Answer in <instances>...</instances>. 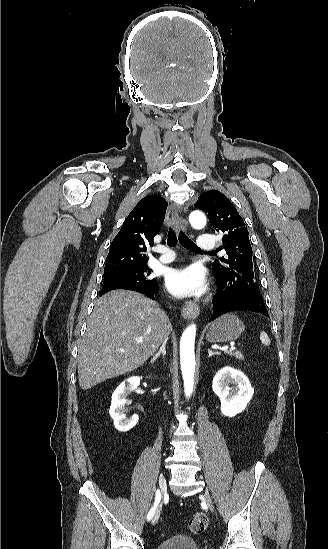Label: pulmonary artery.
<instances>
[{
  "label": "pulmonary artery",
  "mask_w": 328,
  "mask_h": 549,
  "mask_svg": "<svg viewBox=\"0 0 328 549\" xmlns=\"http://www.w3.org/2000/svg\"><path fill=\"white\" fill-rule=\"evenodd\" d=\"M195 244L197 247L202 248L204 252H217L220 248L219 243L214 241L212 237H199L196 239ZM173 259L174 255L168 250H164L159 258L162 263H168Z\"/></svg>",
  "instance_id": "1"
}]
</instances>
